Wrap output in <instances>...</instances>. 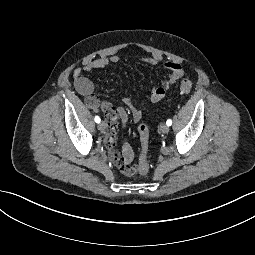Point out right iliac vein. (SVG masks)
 <instances>
[{"label":"right iliac vein","mask_w":255,"mask_h":255,"mask_svg":"<svg viewBox=\"0 0 255 255\" xmlns=\"http://www.w3.org/2000/svg\"><path fill=\"white\" fill-rule=\"evenodd\" d=\"M106 127H107V125H106V123L104 121L99 122L98 129L100 131H105Z\"/></svg>","instance_id":"right-iliac-vein-1"}]
</instances>
